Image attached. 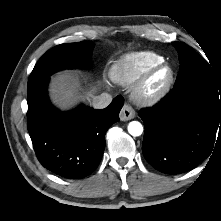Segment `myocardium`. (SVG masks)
<instances>
[{"label": "myocardium", "instance_id": "myocardium-1", "mask_svg": "<svg viewBox=\"0 0 221 221\" xmlns=\"http://www.w3.org/2000/svg\"><path fill=\"white\" fill-rule=\"evenodd\" d=\"M162 69L168 70L166 82L157 90L150 92L149 86L154 75ZM175 80V71L168 62L158 63L149 68L142 77L136 82L132 95L134 100L143 106H152L160 102L170 91Z\"/></svg>", "mask_w": 221, "mask_h": 221}]
</instances>
